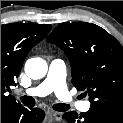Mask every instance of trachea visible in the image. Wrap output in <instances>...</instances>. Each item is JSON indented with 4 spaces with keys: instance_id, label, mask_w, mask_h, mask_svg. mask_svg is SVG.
Instances as JSON below:
<instances>
[{
    "instance_id": "trachea-1",
    "label": "trachea",
    "mask_w": 123,
    "mask_h": 123,
    "mask_svg": "<svg viewBox=\"0 0 123 123\" xmlns=\"http://www.w3.org/2000/svg\"><path fill=\"white\" fill-rule=\"evenodd\" d=\"M20 100L22 101V103L27 106V107H33L35 105V99L33 97H30V96H22L20 98ZM52 108L56 111H59V112H64V111H67L70 109V106L68 104H61V103H58V104H54L52 106Z\"/></svg>"
}]
</instances>
